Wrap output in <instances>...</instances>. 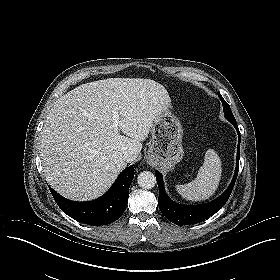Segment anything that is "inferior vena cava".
Here are the masks:
<instances>
[{"label": "inferior vena cava", "mask_w": 280, "mask_h": 280, "mask_svg": "<svg viewBox=\"0 0 280 280\" xmlns=\"http://www.w3.org/2000/svg\"><path fill=\"white\" fill-rule=\"evenodd\" d=\"M122 158L123 160L129 162L131 160V155L127 152H125L123 155H122Z\"/></svg>", "instance_id": "inferior-vena-cava-1"}]
</instances>
